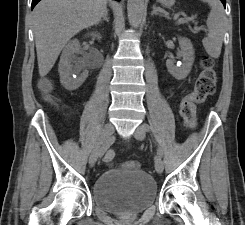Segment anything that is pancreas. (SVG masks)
<instances>
[{
    "mask_svg": "<svg viewBox=\"0 0 245 225\" xmlns=\"http://www.w3.org/2000/svg\"><path fill=\"white\" fill-rule=\"evenodd\" d=\"M193 18V17H192ZM188 21H190V20H187L186 22H184V23H187Z\"/></svg>",
    "mask_w": 245,
    "mask_h": 225,
    "instance_id": "cf45deb5",
    "label": "pancreas"
}]
</instances>
